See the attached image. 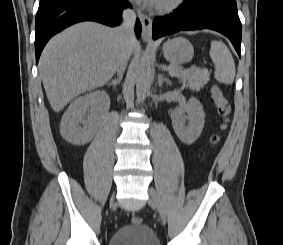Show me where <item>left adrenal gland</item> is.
Segmentation results:
<instances>
[{
	"mask_svg": "<svg viewBox=\"0 0 283 245\" xmlns=\"http://www.w3.org/2000/svg\"><path fill=\"white\" fill-rule=\"evenodd\" d=\"M164 82L171 85V81L167 77H164L162 74H159L158 75V86L162 87Z\"/></svg>",
	"mask_w": 283,
	"mask_h": 245,
	"instance_id": "1",
	"label": "left adrenal gland"
}]
</instances>
